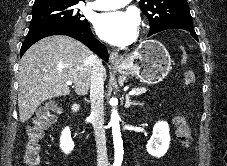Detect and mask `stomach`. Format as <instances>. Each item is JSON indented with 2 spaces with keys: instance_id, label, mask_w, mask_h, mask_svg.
Returning a JSON list of instances; mask_svg holds the SVG:
<instances>
[{
  "instance_id": "1",
  "label": "stomach",
  "mask_w": 227,
  "mask_h": 166,
  "mask_svg": "<svg viewBox=\"0 0 227 166\" xmlns=\"http://www.w3.org/2000/svg\"><path fill=\"white\" fill-rule=\"evenodd\" d=\"M171 57L162 43L147 40L125 57L115 69L124 75L136 76L147 84L161 82L171 70Z\"/></svg>"
}]
</instances>
